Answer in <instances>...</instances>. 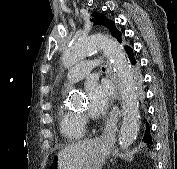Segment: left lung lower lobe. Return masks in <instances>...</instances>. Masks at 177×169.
<instances>
[{"label": "left lung lower lobe", "instance_id": "1", "mask_svg": "<svg viewBox=\"0 0 177 169\" xmlns=\"http://www.w3.org/2000/svg\"><path fill=\"white\" fill-rule=\"evenodd\" d=\"M125 50L127 52V55L129 57V60H130L131 64L136 65L137 61H136L133 49L129 46H125ZM142 141L144 143H147V145L152 144V138H151V135H150V127H149L148 123L146 124V129H145V133H144Z\"/></svg>", "mask_w": 177, "mask_h": 169}]
</instances>
